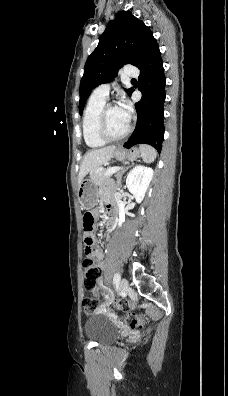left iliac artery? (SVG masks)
I'll list each match as a JSON object with an SVG mask.
<instances>
[{
	"instance_id": "1",
	"label": "left iliac artery",
	"mask_w": 228,
	"mask_h": 396,
	"mask_svg": "<svg viewBox=\"0 0 228 396\" xmlns=\"http://www.w3.org/2000/svg\"><path fill=\"white\" fill-rule=\"evenodd\" d=\"M120 281V274L119 273H115L114 277H113V284H118Z\"/></svg>"
}]
</instances>
